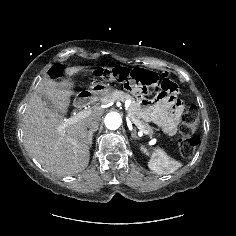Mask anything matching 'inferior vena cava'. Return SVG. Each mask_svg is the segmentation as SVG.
I'll return each instance as SVG.
<instances>
[{"label":"inferior vena cava","instance_id":"1","mask_svg":"<svg viewBox=\"0 0 236 236\" xmlns=\"http://www.w3.org/2000/svg\"><path fill=\"white\" fill-rule=\"evenodd\" d=\"M100 122H101L100 117H93V118H90L86 121V126L88 128H90V130H92V129H97L98 130Z\"/></svg>","mask_w":236,"mask_h":236}]
</instances>
